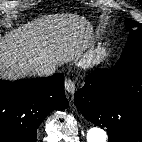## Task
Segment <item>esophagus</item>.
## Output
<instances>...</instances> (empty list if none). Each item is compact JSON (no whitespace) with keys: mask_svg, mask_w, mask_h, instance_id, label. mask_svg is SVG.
<instances>
[{"mask_svg":"<svg viewBox=\"0 0 142 142\" xmlns=\"http://www.w3.org/2000/svg\"><path fill=\"white\" fill-rule=\"evenodd\" d=\"M65 89L67 92L73 94L75 92L76 86L75 82L71 79H66L64 83Z\"/></svg>","mask_w":142,"mask_h":142,"instance_id":"34e87169","label":"esophagus"}]
</instances>
